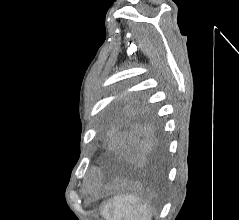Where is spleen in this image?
<instances>
[{
	"mask_svg": "<svg viewBox=\"0 0 239 220\" xmlns=\"http://www.w3.org/2000/svg\"><path fill=\"white\" fill-rule=\"evenodd\" d=\"M101 215L106 220H152V208L147 202L131 194L116 195L102 205Z\"/></svg>",
	"mask_w": 239,
	"mask_h": 220,
	"instance_id": "1",
	"label": "spleen"
}]
</instances>
